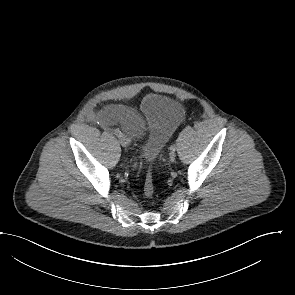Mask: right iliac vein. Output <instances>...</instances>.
I'll list each match as a JSON object with an SVG mask.
<instances>
[{
  "label": "right iliac vein",
  "instance_id": "1",
  "mask_svg": "<svg viewBox=\"0 0 295 295\" xmlns=\"http://www.w3.org/2000/svg\"><path fill=\"white\" fill-rule=\"evenodd\" d=\"M120 144L123 146V147H128L130 145V140L128 137L126 136H122L120 137Z\"/></svg>",
  "mask_w": 295,
  "mask_h": 295
}]
</instances>
